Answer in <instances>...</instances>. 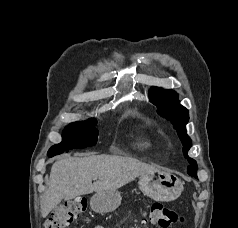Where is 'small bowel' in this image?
Wrapping results in <instances>:
<instances>
[{"mask_svg": "<svg viewBox=\"0 0 238 228\" xmlns=\"http://www.w3.org/2000/svg\"><path fill=\"white\" fill-rule=\"evenodd\" d=\"M94 228H104L103 226H95Z\"/></svg>", "mask_w": 238, "mask_h": 228, "instance_id": "1", "label": "small bowel"}]
</instances>
